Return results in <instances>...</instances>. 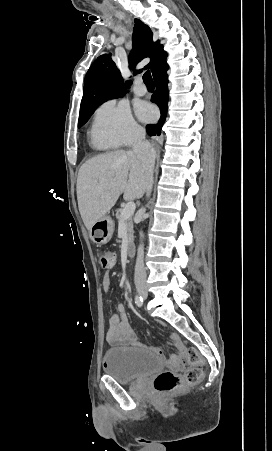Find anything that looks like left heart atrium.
I'll return each instance as SVG.
<instances>
[{"label": "left heart atrium", "instance_id": "39dd6f15", "mask_svg": "<svg viewBox=\"0 0 272 451\" xmlns=\"http://www.w3.org/2000/svg\"><path fill=\"white\" fill-rule=\"evenodd\" d=\"M154 114V110L150 106H144L141 111V116L144 120H150Z\"/></svg>", "mask_w": 272, "mask_h": 451}]
</instances>
